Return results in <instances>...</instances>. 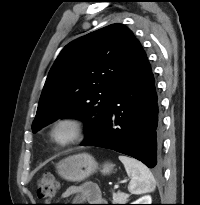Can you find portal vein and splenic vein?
<instances>
[{
	"label": "portal vein and splenic vein",
	"mask_w": 200,
	"mask_h": 205,
	"mask_svg": "<svg viewBox=\"0 0 200 205\" xmlns=\"http://www.w3.org/2000/svg\"><path fill=\"white\" fill-rule=\"evenodd\" d=\"M119 187V184H116L115 186H114V188H118Z\"/></svg>",
	"instance_id": "portal-vein-and-splenic-vein-1"
}]
</instances>
